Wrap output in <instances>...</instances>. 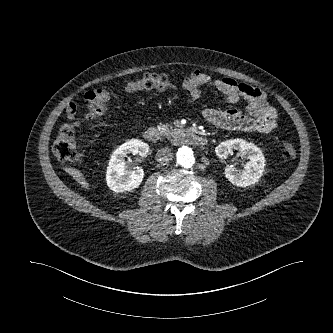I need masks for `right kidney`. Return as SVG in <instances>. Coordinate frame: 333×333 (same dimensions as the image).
<instances>
[{"mask_svg":"<svg viewBox=\"0 0 333 333\" xmlns=\"http://www.w3.org/2000/svg\"><path fill=\"white\" fill-rule=\"evenodd\" d=\"M149 151V145L140 140H131L117 148L109 161L106 172L108 187L115 193L131 192L138 188L144 178V171L137 167L135 170H128L125 161L127 154H139L144 157Z\"/></svg>","mask_w":333,"mask_h":333,"instance_id":"ca27d5eb","label":"right kidney"}]
</instances>
